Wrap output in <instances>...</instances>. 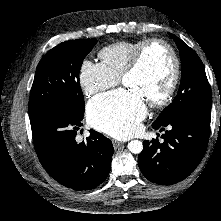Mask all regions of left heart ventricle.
<instances>
[{
    "label": "left heart ventricle",
    "instance_id": "1",
    "mask_svg": "<svg viewBox=\"0 0 221 221\" xmlns=\"http://www.w3.org/2000/svg\"><path fill=\"white\" fill-rule=\"evenodd\" d=\"M171 72L167 50L153 45L144 53L139 68L124 80V86L135 91L144 102L158 98L166 89Z\"/></svg>",
    "mask_w": 221,
    "mask_h": 221
}]
</instances>
